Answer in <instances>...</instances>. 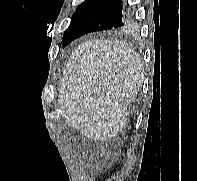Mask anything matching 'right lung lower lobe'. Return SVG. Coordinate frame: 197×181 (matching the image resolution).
Segmentation results:
<instances>
[{
    "label": "right lung lower lobe",
    "mask_w": 197,
    "mask_h": 181,
    "mask_svg": "<svg viewBox=\"0 0 197 181\" xmlns=\"http://www.w3.org/2000/svg\"><path fill=\"white\" fill-rule=\"evenodd\" d=\"M131 24L132 16L123 0H97L76 19L62 46L87 33L119 29Z\"/></svg>",
    "instance_id": "1"
}]
</instances>
